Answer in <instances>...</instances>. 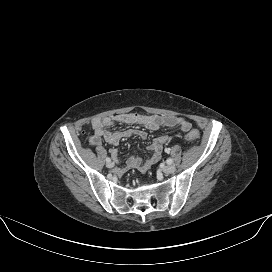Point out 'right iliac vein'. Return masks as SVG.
Returning a JSON list of instances; mask_svg holds the SVG:
<instances>
[{
  "label": "right iliac vein",
  "instance_id": "63e3f726",
  "mask_svg": "<svg viewBox=\"0 0 272 272\" xmlns=\"http://www.w3.org/2000/svg\"><path fill=\"white\" fill-rule=\"evenodd\" d=\"M106 166L108 168H112V167H114V163L113 162H108V163H106Z\"/></svg>",
  "mask_w": 272,
  "mask_h": 272
}]
</instances>
